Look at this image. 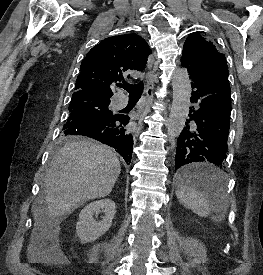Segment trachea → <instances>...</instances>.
Instances as JSON below:
<instances>
[{"instance_id": "3493384b", "label": "trachea", "mask_w": 263, "mask_h": 275, "mask_svg": "<svg viewBox=\"0 0 263 275\" xmlns=\"http://www.w3.org/2000/svg\"><path fill=\"white\" fill-rule=\"evenodd\" d=\"M118 87L126 90L130 98H140L144 90L143 82L134 85L124 82L123 84H118Z\"/></svg>"}]
</instances>
